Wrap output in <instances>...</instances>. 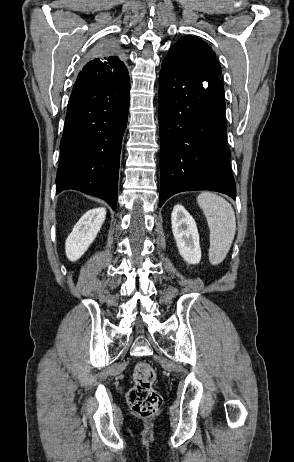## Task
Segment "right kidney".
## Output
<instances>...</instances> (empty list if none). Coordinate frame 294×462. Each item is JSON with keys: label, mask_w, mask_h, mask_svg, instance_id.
I'll return each instance as SVG.
<instances>
[{"label": "right kidney", "mask_w": 294, "mask_h": 462, "mask_svg": "<svg viewBox=\"0 0 294 462\" xmlns=\"http://www.w3.org/2000/svg\"><path fill=\"white\" fill-rule=\"evenodd\" d=\"M106 209L94 208L87 211L74 226L65 242L67 258L74 262L89 248L105 221Z\"/></svg>", "instance_id": "right-kidney-1"}]
</instances>
